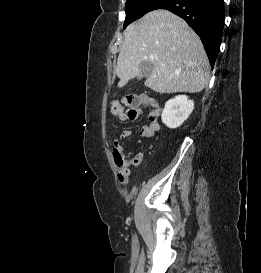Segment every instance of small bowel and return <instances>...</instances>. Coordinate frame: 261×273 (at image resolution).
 I'll use <instances>...</instances> for the list:
<instances>
[{"mask_svg":"<svg viewBox=\"0 0 261 273\" xmlns=\"http://www.w3.org/2000/svg\"><path fill=\"white\" fill-rule=\"evenodd\" d=\"M140 105L148 106L152 109V113L150 114V122L141 128L140 135L144 138H152L157 134L160 129V124L157 120L160 112V104L157 100L148 96H144L141 97ZM118 118L121 121L129 120L124 114L119 115ZM131 134V130H123L119 136V139L114 142V148H119L122 150L120 140L129 138ZM142 160L143 153L140 151L136 152L129 158H125V164L123 166H119L120 170L118 172V181L123 185L127 184L130 177V166H138L142 162Z\"/></svg>","mask_w":261,"mask_h":273,"instance_id":"c3829d8e","label":"small bowel"}]
</instances>
